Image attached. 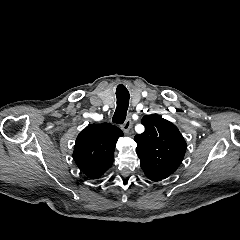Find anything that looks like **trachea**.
Returning a JSON list of instances; mask_svg holds the SVG:
<instances>
[{
  "label": "trachea",
  "mask_w": 240,
  "mask_h": 240,
  "mask_svg": "<svg viewBox=\"0 0 240 240\" xmlns=\"http://www.w3.org/2000/svg\"><path fill=\"white\" fill-rule=\"evenodd\" d=\"M117 107L112 121L117 124H122L126 119L127 109L129 106V92L123 85H119L116 90Z\"/></svg>",
  "instance_id": "obj_1"
}]
</instances>
